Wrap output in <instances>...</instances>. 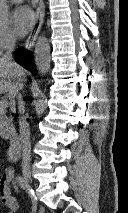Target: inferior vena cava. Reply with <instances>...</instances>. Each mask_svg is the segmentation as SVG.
Returning a JSON list of instances; mask_svg holds the SVG:
<instances>
[{"mask_svg":"<svg viewBox=\"0 0 128 213\" xmlns=\"http://www.w3.org/2000/svg\"><path fill=\"white\" fill-rule=\"evenodd\" d=\"M14 46H15V39L13 37L8 38L6 43V52L2 56V60L7 62L14 69H19V65H17L12 58ZM19 91L20 87H17L10 92V95L12 97H16L18 103L20 140L22 145V165L29 166L31 157L30 129L29 124L26 120V116L24 115L25 104L22 95L20 94Z\"/></svg>","mask_w":128,"mask_h":213,"instance_id":"1","label":"inferior vena cava"}]
</instances>
